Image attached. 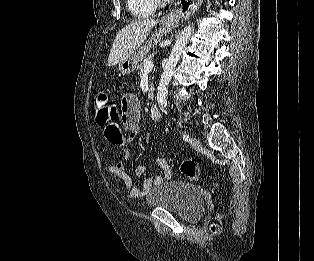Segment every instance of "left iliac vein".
I'll use <instances>...</instances> for the list:
<instances>
[{
    "instance_id": "4c4485c4",
    "label": "left iliac vein",
    "mask_w": 314,
    "mask_h": 261,
    "mask_svg": "<svg viewBox=\"0 0 314 261\" xmlns=\"http://www.w3.org/2000/svg\"><path fill=\"white\" fill-rule=\"evenodd\" d=\"M190 144L194 148H199L201 146L199 139H197L196 137H192L190 139Z\"/></svg>"
}]
</instances>
